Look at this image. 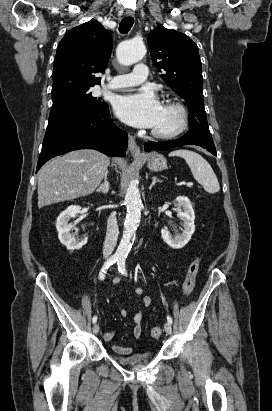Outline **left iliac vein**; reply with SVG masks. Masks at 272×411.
Instances as JSON below:
<instances>
[{
    "instance_id": "4c4485c4",
    "label": "left iliac vein",
    "mask_w": 272,
    "mask_h": 411,
    "mask_svg": "<svg viewBox=\"0 0 272 411\" xmlns=\"http://www.w3.org/2000/svg\"><path fill=\"white\" fill-rule=\"evenodd\" d=\"M164 330H165V332L167 333V334H171L172 333V326H171V324L170 323H165L164 324Z\"/></svg>"
}]
</instances>
